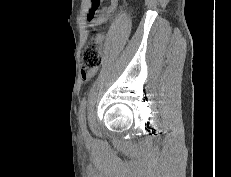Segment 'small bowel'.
Here are the masks:
<instances>
[{
	"mask_svg": "<svg viewBox=\"0 0 231 177\" xmlns=\"http://www.w3.org/2000/svg\"><path fill=\"white\" fill-rule=\"evenodd\" d=\"M102 0H92V8L89 14V25L94 27L104 23L109 14L114 11L118 5V0H110V5L106 8L101 9ZM94 74V70L89 72H82V79L84 81L89 80Z\"/></svg>",
	"mask_w": 231,
	"mask_h": 177,
	"instance_id": "obj_1",
	"label": "small bowel"
}]
</instances>
